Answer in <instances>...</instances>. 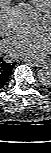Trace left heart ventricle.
<instances>
[{
  "label": "left heart ventricle",
  "instance_id": "1",
  "mask_svg": "<svg viewBox=\"0 0 51 153\" xmlns=\"http://www.w3.org/2000/svg\"><path fill=\"white\" fill-rule=\"evenodd\" d=\"M49 26H48V23H47V21L45 20V19H43V21H42V29H46V28H48Z\"/></svg>",
  "mask_w": 51,
  "mask_h": 153
}]
</instances>
